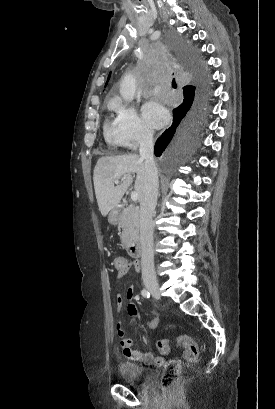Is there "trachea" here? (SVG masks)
Wrapping results in <instances>:
<instances>
[{"label":"trachea","mask_w":275,"mask_h":409,"mask_svg":"<svg viewBox=\"0 0 275 409\" xmlns=\"http://www.w3.org/2000/svg\"><path fill=\"white\" fill-rule=\"evenodd\" d=\"M172 86H173V88H176V87H177V84H176V82H175V79L172 80Z\"/></svg>","instance_id":"3493384b"}]
</instances>
